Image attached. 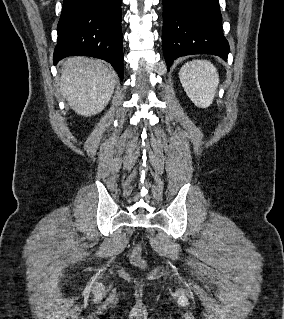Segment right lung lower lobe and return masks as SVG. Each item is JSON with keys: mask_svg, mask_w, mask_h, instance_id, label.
Segmentation results:
<instances>
[{"mask_svg": "<svg viewBox=\"0 0 284 319\" xmlns=\"http://www.w3.org/2000/svg\"><path fill=\"white\" fill-rule=\"evenodd\" d=\"M122 0H64L54 64L71 55L109 62L123 79Z\"/></svg>", "mask_w": 284, "mask_h": 319, "instance_id": "98d812e1", "label": "right lung lower lobe"}]
</instances>
